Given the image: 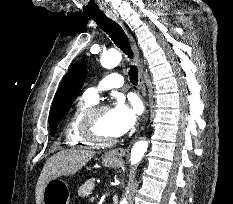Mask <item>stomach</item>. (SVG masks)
<instances>
[{
  "mask_svg": "<svg viewBox=\"0 0 233 204\" xmlns=\"http://www.w3.org/2000/svg\"><path fill=\"white\" fill-rule=\"evenodd\" d=\"M102 164L109 168H115L120 164V159L106 155L102 157ZM69 198L68 184L59 179H52L44 188L41 204H69Z\"/></svg>",
  "mask_w": 233,
  "mask_h": 204,
  "instance_id": "obj_1",
  "label": "stomach"
}]
</instances>
